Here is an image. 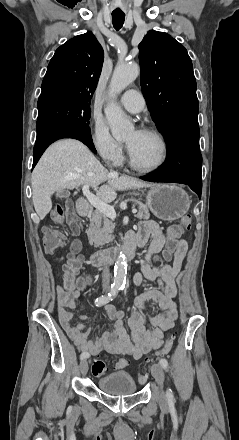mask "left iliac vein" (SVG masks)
I'll list each match as a JSON object with an SVG mask.
<instances>
[{
    "label": "left iliac vein",
    "instance_id": "left-iliac-vein-1",
    "mask_svg": "<svg viewBox=\"0 0 239 440\" xmlns=\"http://www.w3.org/2000/svg\"><path fill=\"white\" fill-rule=\"evenodd\" d=\"M152 376L155 378L159 388H160V405L161 407L167 406L166 395L163 392V384H164V371L160 364H153L151 367Z\"/></svg>",
    "mask_w": 239,
    "mask_h": 440
}]
</instances>
